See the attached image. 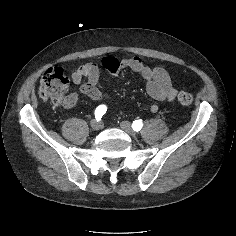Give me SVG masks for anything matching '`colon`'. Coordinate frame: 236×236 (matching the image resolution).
I'll use <instances>...</instances> for the list:
<instances>
[{
  "label": "colon",
  "mask_w": 236,
  "mask_h": 236,
  "mask_svg": "<svg viewBox=\"0 0 236 236\" xmlns=\"http://www.w3.org/2000/svg\"><path fill=\"white\" fill-rule=\"evenodd\" d=\"M69 78L61 68H50L41 77L39 95L42 99L50 100L55 106H64ZM178 102L189 106L193 102V96L188 92H180Z\"/></svg>",
  "instance_id": "colon-1"
}]
</instances>
